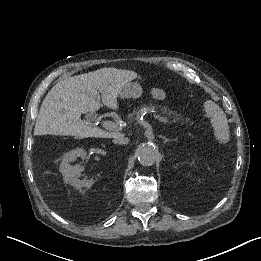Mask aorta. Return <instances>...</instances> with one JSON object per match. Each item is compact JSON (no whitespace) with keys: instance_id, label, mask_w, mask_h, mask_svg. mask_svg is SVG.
Here are the masks:
<instances>
[{"instance_id":"obj_1","label":"aorta","mask_w":261,"mask_h":261,"mask_svg":"<svg viewBox=\"0 0 261 261\" xmlns=\"http://www.w3.org/2000/svg\"><path fill=\"white\" fill-rule=\"evenodd\" d=\"M137 155L143 166H151L156 161L157 152L152 145H141L137 149Z\"/></svg>"}]
</instances>
